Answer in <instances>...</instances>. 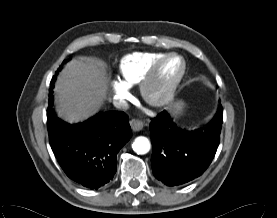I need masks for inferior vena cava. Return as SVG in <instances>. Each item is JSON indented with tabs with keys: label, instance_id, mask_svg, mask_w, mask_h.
Wrapping results in <instances>:
<instances>
[{
	"label": "inferior vena cava",
	"instance_id": "inferior-vena-cava-1",
	"mask_svg": "<svg viewBox=\"0 0 277 218\" xmlns=\"http://www.w3.org/2000/svg\"><path fill=\"white\" fill-rule=\"evenodd\" d=\"M113 105L120 110H125L128 108V103L123 99H114Z\"/></svg>",
	"mask_w": 277,
	"mask_h": 218
}]
</instances>
